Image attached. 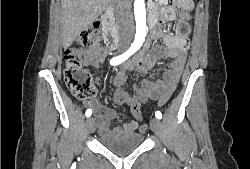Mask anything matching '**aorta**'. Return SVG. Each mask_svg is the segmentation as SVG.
Wrapping results in <instances>:
<instances>
[{
	"label": "aorta",
	"mask_w": 250,
	"mask_h": 169,
	"mask_svg": "<svg viewBox=\"0 0 250 169\" xmlns=\"http://www.w3.org/2000/svg\"><path fill=\"white\" fill-rule=\"evenodd\" d=\"M134 14L136 20L135 38H139V40H144L146 36L145 0H134Z\"/></svg>",
	"instance_id": "1"
}]
</instances>
